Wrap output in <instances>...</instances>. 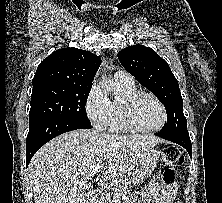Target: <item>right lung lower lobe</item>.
Instances as JSON below:
<instances>
[{
	"label": "right lung lower lobe",
	"instance_id": "1",
	"mask_svg": "<svg viewBox=\"0 0 222 203\" xmlns=\"http://www.w3.org/2000/svg\"><path fill=\"white\" fill-rule=\"evenodd\" d=\"M92 128L91 123L64 118H45L29 124L26 147V166L45 143L67 131Z\"/></svg>",
	"mask_w": 222,
	"mask_h": 203
}]
</instances>
